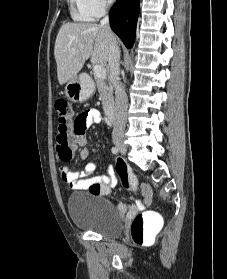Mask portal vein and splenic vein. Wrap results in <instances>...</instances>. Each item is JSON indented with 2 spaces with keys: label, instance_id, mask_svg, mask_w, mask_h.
I'll return each mask as SVG.
<instances>
[{
  "label": "portal vein and splenic vein",
  "instance_id": "18ae733b",
  "mask_svg": "<svg viewBox=\"0 0 227 279\" xmlns=\"http://www.w3.org/2000/svg\"><path fill=\"white\" fill-rule=\"evenodd\" d=\"M94 75L98 78L105 79L106 69L102 65L96 64L93 66Z\"/></svg>",
  "mask_w": 227,
  "mask_h": 279
}]
</instances>
